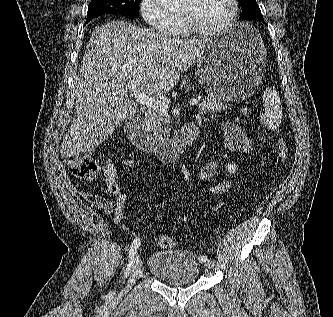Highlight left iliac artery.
Instances as JSON below:
<instances>
[{
    "mask_svg": "<svg viewBox=\"0 0 333 317\" xmlns=\"http://www.w3.org/2000/svg\"><path fill=\"white\" fill-rule=\"evenodd\" d=\"M199 260H200L201 262H206L207 257L204 256V255H201V256L199 257Z\"/></svg>",
    "mask_w": 333,
    "mask_h": 317,
    "instance_id": "obj_1",
    "label": "left iliac artery"
}]
</instances>
